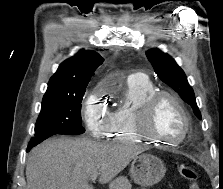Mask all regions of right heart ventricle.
I'll return each instance as SVG.
<instances>
[{
	"instance_id": "right-heart-ventricle-1",
	"label": "right heart ventricle",
	"mask_w": 223,
	"mask_h": 189,
	"mask_svg": "<svg viewBox=\"0 0 223 189\" xmlns=\"http://www.w3.org/2000/svg\"><path fill=\"white\" fill-rule=\"evenodd\" d=\"M154 91L148 79L128 82L124 102L110 113L106 136L121 142H139L142 138L135 129L133 117L142 101Z\"/></svg>"
}]
</instances>
